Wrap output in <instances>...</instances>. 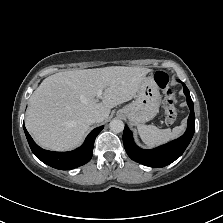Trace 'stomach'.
I'll return each mask as SVG.
<instances>
[{
  "label": "stomach",
  "instance_id": "stomach-1",
  "mask_svg": "<svg viewBox=\"0 0 223 223\" xmlns=\"http://www.w3.org/2000/svg\"><path fill=\"white\" fill-rule=\"evenodd\" d=\"M159 88L152 75L142 78L135 101L126 105L120 113L134 126H141L151 120L158 112Z\"/></svg>",
  "mask_w": 223,
  "mask_h": 223
}]
</instances>
